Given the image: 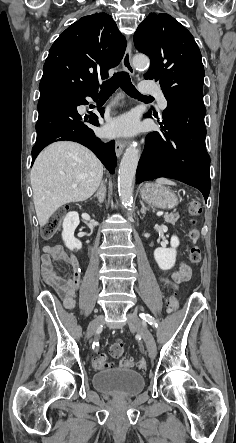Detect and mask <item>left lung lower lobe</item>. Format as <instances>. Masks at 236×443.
Instances as JSON below:
<instances>
[{"mask_svg":"<svg viewBox=\"0 0 236 443\" xmlns=\"http://www.w3.org/2000/svg\"><path fill=\"white\" fill-rule=\"evenodd\" d=\"M167 102L161 132L146 136L136 183L159 177L173 178L199 189L207 201L211 181L210 157L205 147L203 95L179 94ZM146 117H151V113Z\"/></svg>","mask_w":236,"mask_h":443,"instance_id":"0a47b994","label":"left lung lower lobe"}]
</instances>
